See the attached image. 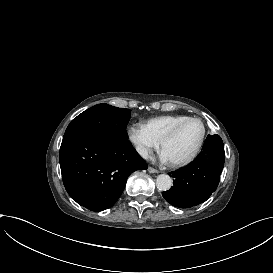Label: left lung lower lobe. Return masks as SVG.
Instances as JSON below:
<instances>
[{"mask_svg": "<svg viewBox=\"0 0 273 273\" xmlns=\"http://www.w3.org/2000/svg\"><path fill=\"white\" fill-rule=\"evenodd\" d=\"M223 141L217 134L208 135L201 153L186 167L174 171L170 190L162 192L164 199L179 208H190L206 201L217 189L224 167Z\"/></svg>", "mask_w": 273, "mask_h": 273, "instance_id": "left-lung-lower-lobe-1", "label": "left lung lower lobe"}]
</instances>
